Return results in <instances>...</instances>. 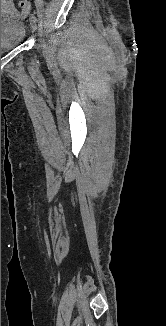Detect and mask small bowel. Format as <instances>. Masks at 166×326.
<instances>
[{
    "mask_svg": "<svg viewBox=\"0 0 166 326\" xmlns=\"http://www.w3.org/2000/svg\"><path fill=\"white\" fill-rule=\"evenodd\" d=\"M1 3L3 4H10V0H1Z\"/></svg>",
    "mask_w": 166,
    "mask_h": 326,
    "instance_id": "small-bowel-1",
    "label": "small bowel"
}]
</instances>
